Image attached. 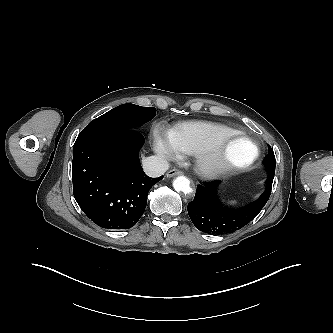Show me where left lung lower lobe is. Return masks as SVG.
Segmentation results:
<instances>
[{
	"mask_svg": "<svg viewBox=\"0 0 333 333\" xmlns=\"http://www.w3.org/2000/svg\"><path fill=\"white\" fill-rule=\"evenodd\" d=\"M268 171L264 193L257 201L240 209H229L218 200L216 191L220 181L197 186L195 198L187 207L195 227L205 233L226 234L247 225L260 213L270 197L275 168Z\"/></svg>",
	"mask_w": 333,
	"mask_h": 333,
	"instance_id": "obj_1",
	"label": "left lung lower lobe"
}]
</instances>
